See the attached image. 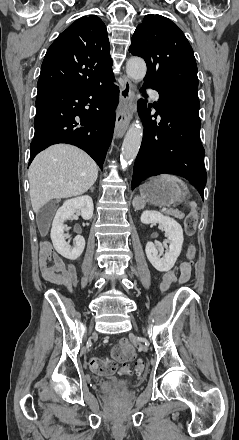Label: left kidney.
Listing matches in <instances>:
<instances>
[{"mask_svg": "<svg viewBox=\"0 0 239 440\" xmlns=\"http://www.w3.org/2000/svg\"><path fill=\"white\" fill-rule=\"evenodd\" d=\"M140 220L142 224H162L165 236L169 240V250L162 254V246H159V250H157L153 242H147L145 252L149 262L158 272H169L173 268L178 256H180L184 242L183 230L180 224L173 220V218H168V216H163L160 212H153V210L151 212L149 210L143 212Z\"/></svg>", "mask_w": 239, "mask_h": 440, "instance_id": "1", "label": "left kidney"}]
</instances>
